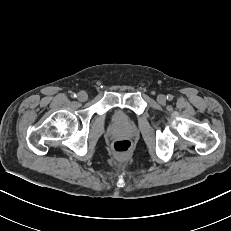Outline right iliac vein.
<instances>
[{"mask_svg":"<svg viewBox=\"0 0 231 231\" xmlns=\"http://www.w3.org/2000/svg\"><path fill=\"white\" fill-rule=\"evenodd\" d=\"M87 98H88V95H87V93L85 92V91H80L78 94H77V99L79 100V101H86L87 100Z\"/></svg>","mask_w":231,"mask_h":231,"instance_id":"63e3f726","label":"right iliac vein"}]
</instances>
